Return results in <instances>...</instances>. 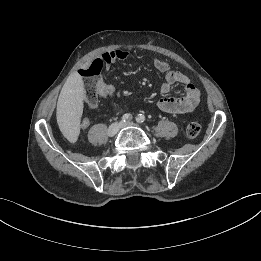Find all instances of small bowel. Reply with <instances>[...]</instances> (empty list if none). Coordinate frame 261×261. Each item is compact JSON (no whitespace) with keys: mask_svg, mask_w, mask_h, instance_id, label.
<instances>
[{"mask_svg":"<svg viewBox=\"0 0 261 261\" xmlns=\"http://www.w3.org/2000/svg\"><path fill=\"white\" fill-rule=\"evenodd\" d=\"M128 56L129 53L126 50L116 49L104 52L98 60H101L105 70H108L114 62L126 60ZM153 65L164 76V81L160 86V91L164 96L158 100L157 107L164 112L174 114H183L192 111L200 101V91L191 82L189 77L182 72L172 70L168 63L160 58H154ZM176 83L184 86L183 95L179 97L168 95ZM113 92L114 87L111 84L101 81L100 96L106 97ZM89 125V119L82 120V129H86Z\"/></svg>","mask_w":261,"mask_h":261,"instance_id":"1","label":"small bowel"}]
</instances>
